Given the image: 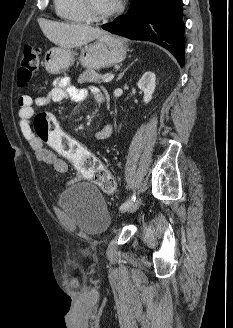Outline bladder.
<instances>
[{
    "mask_svg": "<svg viewBox=\"0 0 233 328\" xmlns=\"http://www.w3.org/2000/svg\"><path fill=\"white\" fill-rule=\"evenodd\" d=\"M58 204L76 227L88 235H98L110 226L106 201L90 183L69 187L59 195Z\"/></svg>",
    "mask_w": 233,
    "mask_h": 328,
    "instance_id": "obj_1",
    "label": "bladder"
}]
</instances>
